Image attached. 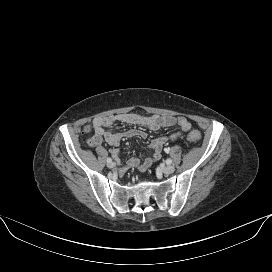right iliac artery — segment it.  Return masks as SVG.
<instances>
[{"label":"right iliac artery","instance_id":"obj_1","mask_svg":"<svg viewBox=\"0 0 272 272\" xmlns=\"http://www.w3.org/2000/svg\"><path fill=\"white\" fill-rule=\"evenodd\" d=\"M107 163H110V162H112V159L111 158H107Z\"/></svg>","mask_w":272,"mask_h":272}]
</instances>
